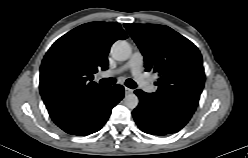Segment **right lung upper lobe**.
Returning a JSON list of instances; mask_svg holds the SVG:
<instances>
[{
    "instance_id": "cb5924a9",
    "label": "right lung upper lobe",
    "mask_w": 248,
    "mask_h": 158,
    "mask_svg": "<svg viewBox=\"0 0 248 158\" xmlns=\"http://www.w3.org/2000/svg\"><path fill=\"white\" fill-rule=\"evenodd\" d=\"M127 34L115 22H90L60 37L40 67V93L48 111L82 100L102 88L93 82L106 69L111 45Z\"/></svg>"
}]
</instances>
